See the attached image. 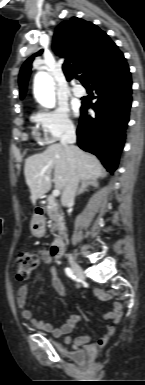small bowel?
<instances>
[{
    "mask_svg": "<svg viewBox=\"0 0 145 385\" xmlns=\"http://www.w3.org/2000/svg\"><path fill=\"white\" fill-rule=\"evenodd\" d=\"M40 259L44 264H52L55 257L52 256L49 250H42L40 252ZM49 273L51 276L53 288L60 296H64L66 294L65 286L58 277L57 268L54 265L50 266ZM92 295L106 303H109L112 300V296L110 294L105 293L103 290L100 289L92 290ZM27 300L28 286L27 284H23L19 287L16 297V304L20 309L22 318L42 331L52 333L56 337L64 336V343L66 345L71 344L73 349L76 351L79 350V348L82 346L87 348H101L110 340L115 331L114 325H108L105 328V332L102 337H100L96 341H92L89 335H83L73 340L69 336V334L72 332L75 325L79 322L80 315L70 314L65 320V322L60 327L56 328L49 322H45L35 318L32 311L27 307ZM122 309L123 305L121 302H114L112 304L111 310L104 313L103 318L105 320H111L113 324H117L121 319Z\"/></svg>",
    "mask_w": 145,
    "mask_h": 385,
    "instance_id": "c3829d8e",
    "label": "small bowel"
}]
</instances>
